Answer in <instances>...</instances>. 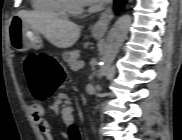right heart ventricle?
<instances>
[{"mask_svg":"<svg viewBox=\"0 0 182 140\" xmlns=\"http://www.w3.org/2000/svg\"><path fill=\"white\" fill-rule=\"evenodd\" d=\"M64 0H32L35 11L63 16L66 14Z\"/></svg>","mask_w":182,"mask_h":140,"instance_id":"1","label":"right heart ventricle"}]
</instances>
